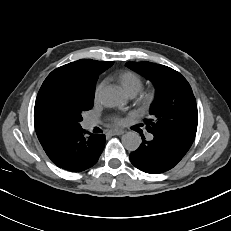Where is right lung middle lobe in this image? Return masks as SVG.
<instances>
[{
  "label": "right lung middle lobe",
  "mask_w": 231,
  "mask_h": 231,
  "mask_svg": "<svg viewBox=\"0 0 231 231\" xmlns=\"http://www.w3.org/2000/svg\"><path fill=\"white\" fill-rule=\"evenodd\" d=\"M93 106V97H82L63 91L48 93L35 103L34 111L57 131L66 133L81 129L82 115Z\"/></svg>",
  "instance_id": "dd1d6c3e"
}]
</instances>
